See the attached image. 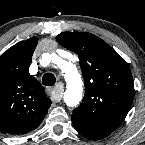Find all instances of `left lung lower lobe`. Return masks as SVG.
<instances>
[{
	"instance_id": "0a47b994",
	"label": "left lung lower lobe",
	"mask_w": 145,
	"mask_h": 145,
	"mask_svg": "<svg viewBox=\"0 0 145 145\" xmlns=\"http://www.w3.org/2000/svg\"><path fill=\"white\" fill-rule=\"evenodd\" d=\"M72 123L79 134H81L82 136H84L85 138L90 139V140H99V139L105 138L109 135L104 132L90 129L73 120H72Z\"/></svg>"
}]
</instances>
